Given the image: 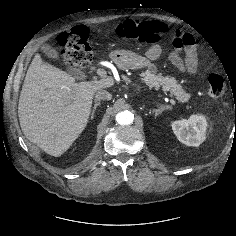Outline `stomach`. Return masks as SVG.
<instances>
[{
	"label": "stomach",
	"mask_w": 236,
	"mask_h": 236,
	"mask_svg": "<svg viewBox=\"0 0 236 236\" xmlns=\"http://www.w3.org/2000/svg\"><path fill=\"white\" fill-rule=\"evenodd\" d=\"M109 57L121 69H142L150 65L148 58L126 50L113 51Z\"/></svg>",
	"instance_id": "stomach-1"
}]
</instances>
